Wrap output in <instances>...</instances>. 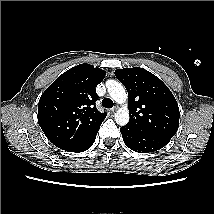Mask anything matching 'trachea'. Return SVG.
<instances>
[{"label": "trachea", "mask_w": 214, "mask_h": 214, "mask_svg": "<svg viewBox=\"0 0 214 214\" xmlns=\"http://www.w3.org/2000/svg\"><path fill=\"white\" fill-rule=\"evenodd\" d=\"M114 105L113 101L109 98H105L102 100V106L106 108H112Z\"/></svg>", "instance_id": "obj_1"}]
</instances>
